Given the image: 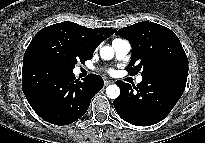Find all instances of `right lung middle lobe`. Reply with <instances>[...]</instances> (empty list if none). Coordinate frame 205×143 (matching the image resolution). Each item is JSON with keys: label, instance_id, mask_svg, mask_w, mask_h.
<instances>
[{"label": "right lung middle lobe", "instance_id": "dd1d6c3e", "mask_svg": "<svg viewBox=\"0 0 205 143\" xmlns=\"http://www.w3.org/2000/svg\"><path fill=\"white\" fill-rule=\"evenodd\" d=\"M93 52L71 29L57 23L41 29L34 36L23 59L44 58L73 70L77 62L92 59Z\"/></svg>", "mask_w": 205, "mask_h": 143}]
</instances>
